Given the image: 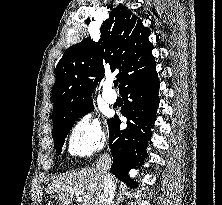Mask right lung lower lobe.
<instances>
[{
    "instance_id": "98d812e1",
    "label": "right lung lower lobe",
    "mask_w": 222,
    "mask_h": 205,
    "mask_svg": "<svg viewBox=\"0 0 222 205\" xmlns=\"http://www.w3.org/2000/svg\"><path fill=\"white\" fill-rule=\"evenodd\" d=\"M159 78L155 67L134 77L120 89L124 99L121 113L127 117V128L120 130L121 121L115 115L108 122L109 147L113 157L111 172L126 184L137 186L128 174L142 165L147 156V142L159 107Z\"/></svg>"
}]
</instances>
